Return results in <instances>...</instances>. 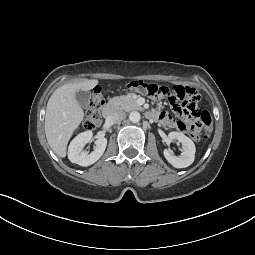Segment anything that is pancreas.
<instances>
[{"instance_id": "1", "label": "pancreas", "mask_w": 255, "mask_h": 255, "mask_svg": "<svg viewBox=\"0 0 255 255\" xmlns=\"http://www.w3.org/2000/svg\"><path fill=\"white\" fill-rule=\"evenodd\" d=\"M109 105L113 109L124 110V111L141 109V107L137 104L136 99L129 95L113 97L109 99Z\"/></svg>"}]
</instances>
